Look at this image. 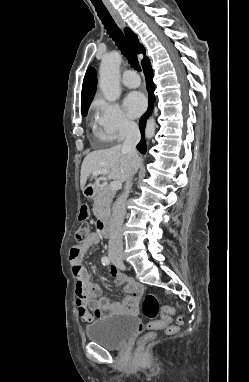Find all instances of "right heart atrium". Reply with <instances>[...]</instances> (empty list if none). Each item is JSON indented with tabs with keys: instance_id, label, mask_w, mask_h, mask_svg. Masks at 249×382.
<instances>
[{
	"instance_id": "1",
	"label": "right heart atrium",
	"mask_w": 249,
	"mask_h": 382,
	"mask_svg": "<svg viewBox=\"0 0 249 382\" xmlns=\"http://www.w3.org/2000/svg\"><path fill=\"white\" fill-rule=\"evenodd\" d=\"M95 124L101 136L109 141H120L134 133L135 121L116 102L99 98L94 104Z\"/></svg>"
}]
</instances>
